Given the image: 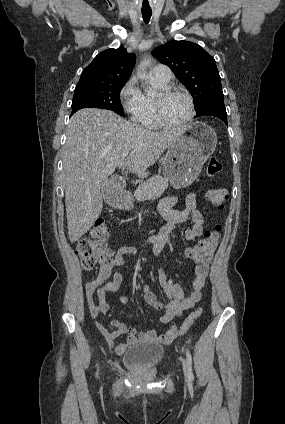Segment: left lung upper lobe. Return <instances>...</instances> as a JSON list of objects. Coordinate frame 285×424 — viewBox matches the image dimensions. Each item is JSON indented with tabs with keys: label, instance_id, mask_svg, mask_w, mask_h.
Wrapping results in <instances>:
<instances>
[{
	"label": "left lung upper lobe",
	"instance_id": "left-lung-upper-lobe-1",
	"mask_svg": "<svg viewBox=\"0 0 285 424\" xmlns=\"http://www.w3.org/2000/svg\"><path fill=\"white\" fill-rule=\"evenodd\" d=\"M152 55L170 67L191 93L196 112L211 101L224 100L216 62L201 46L188 41H170Z\"/></svg>",
	"mask_w": 285,
	"mask_h": 424
}]
</instances>
